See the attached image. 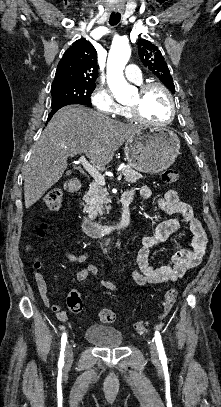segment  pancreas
<instances>
[{"label":"pancreas","mask_w":221,"mask_h":407,"mask_svg":"<svg viewBox=\"0 0 221 407\" xmlns=\"http://www.w3.org/2000/svg\"><path fill=\"white\" fill-rule=\"evenodd\" d=\"M125 181L129 183H135L142 178V175L129 166H125L122 169ZM84 212H86L89 218L94 219L97 215H102L105 212V208L108 210L109 203L108 192L103 185L98 183H92L89 191L84 196Z\"/></svg>","instance_id":"pancreas-1"}]
</instances>
